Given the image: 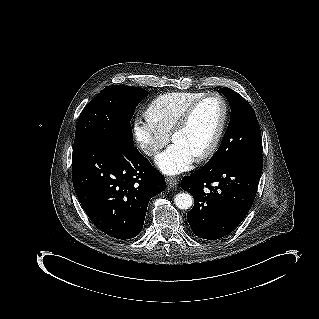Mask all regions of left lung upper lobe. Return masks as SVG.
<instances>
[{
	"label": "left lung upper lobe",
	"instance_id": "obj_1",
	"mask_svg": "<svg viewBox=\"0 0 319 319\" xmlns=\"http://www.w3.org/2000/svg\"><path fill=\"white\" fill-rule=\"evenodd\" d=\"M218 92L229 101L231 117L221 145L208 163H225L250 154H262L260 127L251 105L230 88L224 87Z\"/></svg>",
	"mask_w": 319,
	"mask_h": 319
}]
</instances>
